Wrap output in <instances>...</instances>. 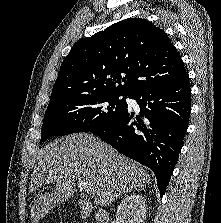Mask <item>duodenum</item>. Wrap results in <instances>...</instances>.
I'll list each match as a JSON object with an SVG mask.
<instances>
[{"label":"duodenum","mask_w":221,"mask_h":223,"mask_svg":"<svg viewBox=\"0 0 221 223\" xmlns=\"http://www.w3.org/2000/svg\"><path fill=\"white\" fill-rule=\"evenodd\" d=\"M80 216L86 218L92 213L95 214L97 223H110V216L106 209L104 208H92L91 204L87 201L79 202Z\"/></svg>","instance_id":"obj_1"}]
</instances>
